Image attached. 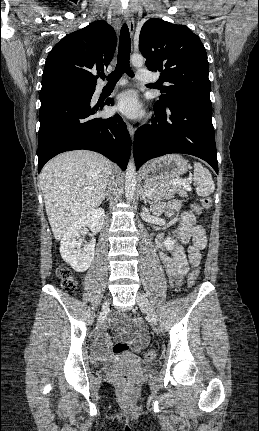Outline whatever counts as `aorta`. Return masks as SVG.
Returning <instances> with one entry per match:
<instances>
[{
	"label": "aorta",
	"instance_id": "762f6f07",
	"mask_svg": "<svg viewBox=\"0 0 259 431\" xmlns=\"http://www.w3.org/2000/svg\"><path fill=\"white\" fill-rule=\"evenodd\" d=\"M131 63L135 67H142L144 64V59L142 55L134 54L131 57ZM136 167L134 163L133 157L130 158L126 169L125 175V196L128 202H131L134 198L135 190H136Z\"/></svg>",
	"mask_w": 259,
	"mask_h": 431
}]
</instances>
